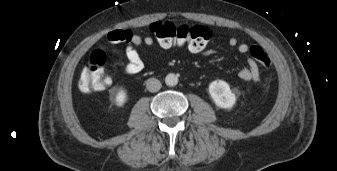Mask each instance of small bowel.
I'll list each match as a JSON object with an SVG mask.
<instances>
[{
  "label": "small bowel",
  "instance_id": "obj_1",
  "mask_svg": "<svg viewBox=\"0 0 337 171\" xmlns=\"http://www.w3.org/2000/svg\"><path fill=\"white\" fill-rule=\"evenodd\" d=\"M109 40L113 43L125 42L126 48L124 51L115 50L117 56L125 57L127 63L123 67V73L125 75H135L140 73L145 66L144 60L138 51V47L145 45L148 47L155 45V40L151 36L142 37L138 34L132 33L130 31H116L109 34ZM228 44L231 47H237L240 53H246L249 50V46L245 43H238V40L234 37L229 38ZM193 52V51H192ZM202 53L205 56L213 54L212 50H207L204 52H194ZM240 79L244 81L259 82L260 72L256 62L249 58L247 61V66L240 70Z\"/></svg>",
  "mask_w": 337,
  "mask_h": 171
}]
</instances>
